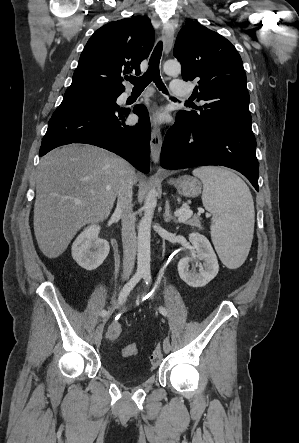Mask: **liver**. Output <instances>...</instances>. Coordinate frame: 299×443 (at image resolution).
Returning a JSON list of instances; mask_svg holds the SVG:
<instances>
[{
	"mask_svg": "<svg viewBox=\"0 0 299 443\" xmlns=\"http://www.w3.org/2000/svg\"><path fill=\"white\" fill-rule=\"evenodd\" d=\"M131 175L137 181L127 161L94 146L71 144L46 154L38 167L34 204L41 252L56 258L81 227L105 220L123 180Z\"/></svg>",
	"mask_w": 299,
	"mask_h": 443,
	"instance_id": "liver-1",
	"label": "liver"
}]
</instances>
